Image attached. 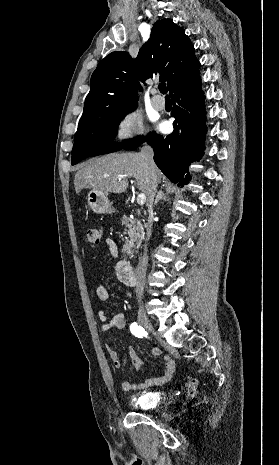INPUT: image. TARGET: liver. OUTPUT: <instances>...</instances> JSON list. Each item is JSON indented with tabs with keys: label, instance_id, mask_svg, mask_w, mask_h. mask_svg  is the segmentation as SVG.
Here are the masks:
<instances>
[{
	"label": "liver",
	"instance_id": "6515ba94",
	"mask_svg": "<svg viewBox=\"0 0 279 465\" xmlns=\"http://www.w3.org/2000/svg\"><path fill=\"white\" fill-rule=\"evenodd\" d=\"M119 176L134 177L138 189L146 195L150 190L149 172L140 153H112L87 161L77 171L74 179L76 193L82 189H92L106 194H120L128 188V180ZM163 175L157 169V179L161 182Z\"/></svg>",
	"mask_w": 279,
	"mask_h": 465
}]
</instances>
